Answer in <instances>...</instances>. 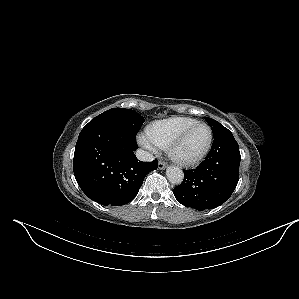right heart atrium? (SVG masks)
Segmentation results:
<instances>
[{
	"instance_id": "d8ad5b80",
	"label": "right heart atrium",
	"mask_w": 299,
	"mask_h": 299,
	"mask_svg": "<svg viewBox=\"0 0 299 299\" xmlns=\"http://www.w3.org/2000/svg\"><path fill=\"white\" fill-rule=\"evenodd\" d=\"M139 142L151 152H157L158 150V147L149 139L147 135H141L139 137Z\"/></svg>"
}]
</instances>
